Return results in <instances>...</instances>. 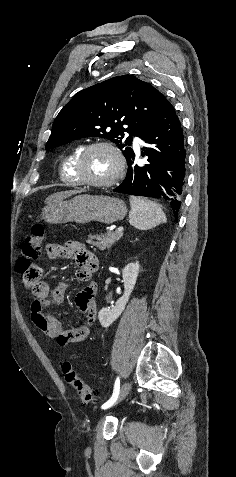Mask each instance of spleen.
Here are the masks:
<instances>
[{
  "label": "spleen",
  "mask_w": 236,
  "mask_h": 477,
  "mask_svg": "<svg viewBox=\"0 0 236 477\" xmlns=\"http://www.w3.org/2000/svg\"><path fill=\"white\" fill-rule=\"evenodd\" d=\"M129 223L139 230H149L167 221L162 208L155 202L136 196L130 197Z\"/></svg>",
  "instance_id": "obj_1"
}]
</instances>
